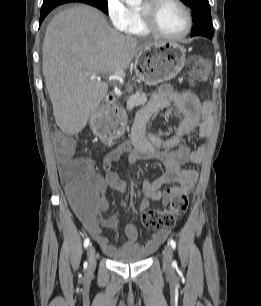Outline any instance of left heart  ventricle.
<instances>
[{
  "label": "left heart ventricle",
  "mask_w": 261,
  "mask_h": 306,
  "mask_svg": "<svg viewBox=\"0 0 261 306\" xmlns=\"http://www.w3.org/2000/svg\"><path fill=\"white\" fill-rule=\"evenodd\" d=\"M155 20L159 29L169 35L181 34L186 26L182 9L170 0H166L158 6Z\"/></svg>",
  "instance_id": "left-heart-ventricle-1"
}]
</instances>
